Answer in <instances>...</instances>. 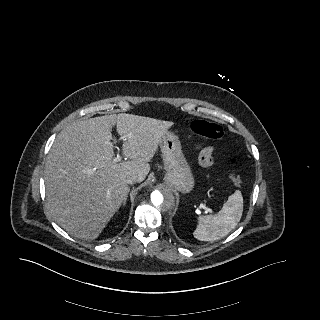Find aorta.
<instances>
[{
    "label": "aorta",
    "mask_w": 320,
    "mask_h": 320,
    "mask_svg": "<svg viewBox=\"0 0 320 320\" xmlns=\"http://www.w3.org/2000/svg\"><path fill=\"white\" fill-rule=\"evenodd\" d=\"M175 196L171 189L163 186L154 190L150 195V210L158 217H163L167 211H173Z\"/></svg>",
    "instance_id": "obj_1"
}]
</instances>
